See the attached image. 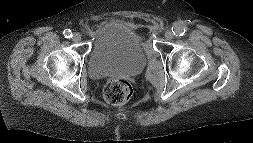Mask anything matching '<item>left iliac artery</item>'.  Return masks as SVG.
<instances>
[{
  "label": "left iliac artery",
  "mask_w": 253,
  "mask_h": 143,
  "mask_svg": "<svg viewBox=\"0 0 253 143\" xmlns=\"http://www.w3.org/2000/svg\"><path fill=\"white\" fill-rule=\"evenodd\" d=\"M172 31L174 33L175 36H183L185 34L186 28L184 27H179V26H174L172 28Z\"/></svg>",
  "instance_id": "44dca946"
}]
</instances>
